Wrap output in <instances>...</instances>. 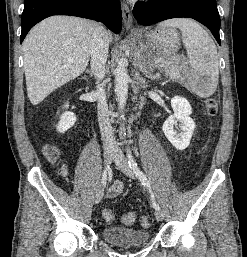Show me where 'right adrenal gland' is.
Instances as JSON below:
<instances>
[{"instance_id": "right-adrenal-gland-1", "label": "right adrenal gland", "mask_w": 247, "mask_h": 257, "mask_svg": "<svg viewBox=\"0 0 247 257\" xmlns=\"http://www.w3.org/2000/svg\"><path fill=\"white\" fill-rule=\"evenodd\" d=\"M86 73H88L91 77L93 76L92 71H91V70H89V69H87V70H86Z\"/></svg>"}]
</instances>
